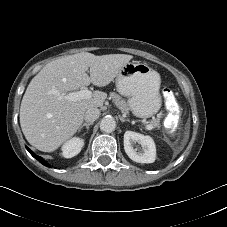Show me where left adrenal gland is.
<instances>
[{
  "mask_svg": "<svg viewBox=\"0 0 227 227\" xmlns=\"http://www.w3.org/2000/svg\"><path fill=\"white\" fill-rule=\"evenodd\" d=\"M119 119L121 122H130V120L124 119L122 116H119Z\"/></svg>",
  "mask_w": 227,
  "mask_h": 227,
  "instance_id": "left-adrenal-gland-1",
  "label": "left adrenal gland"
}]
</instances>
